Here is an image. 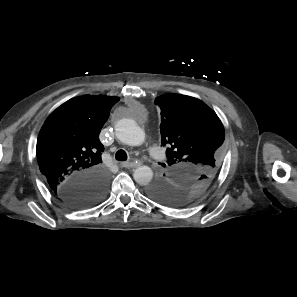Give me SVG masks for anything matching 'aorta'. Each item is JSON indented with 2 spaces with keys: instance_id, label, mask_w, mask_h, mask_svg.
<instances>
[{
  "instance_id": "762f6f07",
  "label": "aorta",
  "mask_w": 297,
  "mask_h": 297,
  "mask_svg": "<svg viewBox=\"0 0 297 297\" xmlns=\"http://www.w3.org/2000/svg\"><path fill=\"white\" fill-rule=\"evenodd\" d=\"M115 131L117 139L129 146H139L145 140V132L132 119L119 120ZM133 178L139 185H147L153 178V171L149 166H140L134 170Z\"/></svg>"
}]
</instances>
